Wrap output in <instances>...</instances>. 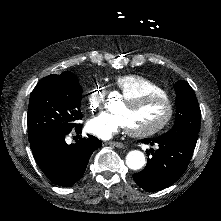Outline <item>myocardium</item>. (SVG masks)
<instances>
[{"label": "myocardium", "mask_w": 221, "mask_h": 221, "mask_svg": "<svg viewBox=\"0 0 221 221\" xmlns=\"http://www.w3.org/2000/svg\"><path fill=\"white\" fill-rule=\"evenodd\" d=\"M125 107L129 109H139L141 111L142 106L156 105L161 109V115L149 122H138L136 125L130 127L133 136L139 138L156 137L160 133V130L171 121L174 116L175 103L171 97L164 91H156L153 96H141L140 98L132 97L125 100Z\"/></svg>", "instance_id": "1"}]
</instances>
